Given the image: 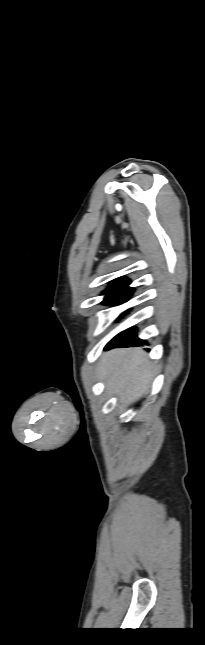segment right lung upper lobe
<instances>
[{
	"label": "right lung upper lobe",
	"instance_id": "1",
	"mask_svg": "<svg viewBox=\"0 0 205 645\" xmlns=\"http://www.w3.org/2000/svg\"><path fill=\"white\" fill-rule=\"evenodd\" d=\"M130 284V280L124 279V278H119L115 280L111 286L103 292V294H107L105 300L115 294H119L122 292H127V291H132L133 289L128 287Z\"/></svg>",
	"mask_w": 205,
	"mask_h": 645
}]
</instances>
